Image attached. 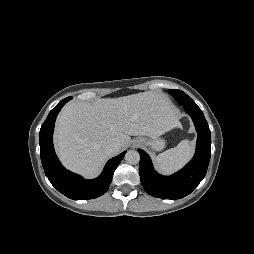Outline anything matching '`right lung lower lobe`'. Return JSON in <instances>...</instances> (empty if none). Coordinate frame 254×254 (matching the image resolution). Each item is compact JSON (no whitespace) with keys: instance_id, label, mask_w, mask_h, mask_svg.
<instances>
[{"instance_id":"right-lung-lower-lobe-1","label":"right lung lower lobe","mask_w":254,"mask_h":254,"mask_svg":"<svg viewBox=\"0 0 254 254\" xmlns=\"http://www.w3.org/2000/svg\"><path fill=\"white\" fill-rule=\"evenodd\" d=\"M71 97L61 100L49 113L39 132L41 162L45 174L51 184L62 194L74 200H88L103 195L113 177V173L125 152L110 159L99 177L93 180L83 179L81 176L66 170L59 162L53 147L52 135L56 116Z\"/></svg>"}]
</instances>
